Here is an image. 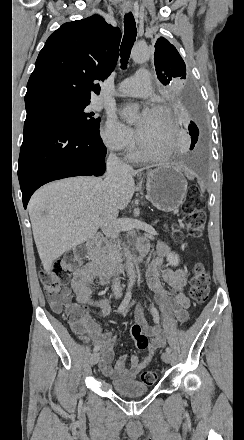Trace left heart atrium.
<instances>
[{"instance_id":"39dd6f15","label":"left heart atrium","mask_w":244,"mask_h":440,"mask_svg":"<svg viewBox=\"0 0 244 440\" xmlns=\"http://www.w3.org/2000/svg\"><path fill=\"white\" fill-rule=\"evenodd\" d=\"M152 110H150L149 108H145L143 110V114H142V119L143 121L147 120V118L149 117L150 113Z\"/></svg>"}]
</instances>
